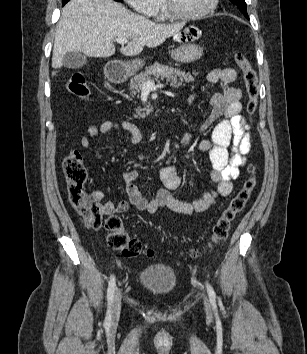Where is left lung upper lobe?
<instances>
[{"label": "left lung upper lobe", "mask_w": 307, "mask_h": 354, "mask_svg": "<svg viewBox=\"0 0 307 354\" xmlns=\"http://www.w3.org/2000/svg\"><path fill=\"white\" fill-rule=\"evenodd\" d=\"M232 3L236 4L240 11L248 18L247 15V5L245 0H231Z\"/></svg>", "instance_id": "5c2ea615"}]
</instances>
